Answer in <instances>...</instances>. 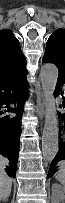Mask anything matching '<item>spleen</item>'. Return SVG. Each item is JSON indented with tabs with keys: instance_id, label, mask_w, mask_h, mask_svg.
<instances>
[{
	"instance_id": "obj_1",
	"label": "spleen",
	"mask_w": 65,
	"mask_h": 203,
	"mask_svg": "<svg viewBox=\"0 0 65 203\" xmlns=\"http://www.w3.org/2000/svg\"><path fill=\"white\" fill-rule=\"evenodd\" d=\"M62 185L65 184V164L62 162L55 177Z\"/></svg>"
}]
</instances>
